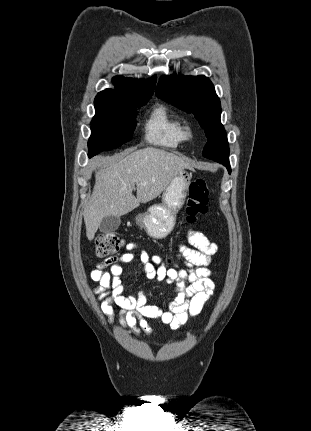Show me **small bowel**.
I'll use <instances>...</instances> for the list:
<instances>
[{
	"label": "small bowel",
	"mask_w": 311,
	"mask_h": 431,
	"mask_svg": "<svg viewBox=\"0 0 311 431\" xmlns=\"http://www.w3.org/2000/svg\"><path fill=\"white\" fill-rule=\"evenodd\" d=\"M188 242L190 247L180 246L187 269H167L160 265L161 258L158 255H150L146 251H141L138 257V264L147 278L164 281L173 286V297L167 310L147 304L143 291L137 295L125 294L121 264L134 260L133 250L137 248L135 243H129L124 254L98 264L90 272V279L98 284L93 292L102 312L112 320L113 305L118 306L121 309L120 324L132 328L134 333H139L140 329L149 331L147 319H160L170 329L176 330L190 317L199 315L214 292L215 285L209 265L218 246L200 231H189ZM107 266H110V270L104 271Z\"/></svg>",
	"instance_id": "c3829d8e"
}]
</instances>
